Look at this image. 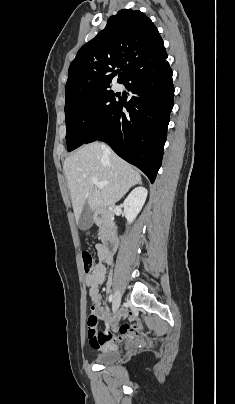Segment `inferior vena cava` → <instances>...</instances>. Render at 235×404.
<instances>
[{
    "label": "inferior vena cava",
    "instance_id": "602c4592",
    "mask_svg": "<svg viewBox=\"0 0 235 404\" xmlns=\"http://www.w3.org/2000/svg\"><path fill=\"white\" fill-rule=\"evenodd\" d=\"M105 151H106V152L109 151V148H108L107 146H105Z\"/></svg>",
    "mask_w": 235,
    "mask_h": 404
}]
</instances>
